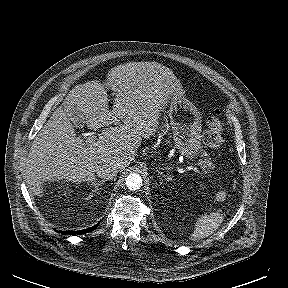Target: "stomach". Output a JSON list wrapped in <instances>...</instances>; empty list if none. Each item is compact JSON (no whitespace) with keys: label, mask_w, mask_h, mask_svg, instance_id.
<instances>
[{"label":"stomach","mask_w":288,"mask_h":288,"mask_svg":"<svg viewBox=\"0 0 288 288\" xmlns=\"http://www.w3.org/2000/svg\"><path fill=\"white\" fill-rule=\"evenodd\" d=\"M168 116L176 149L188 159H194L202 149V118L183 90L171 98Z\"/></svg>","instance_id":"1"}]
</instances>
